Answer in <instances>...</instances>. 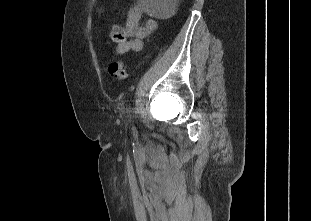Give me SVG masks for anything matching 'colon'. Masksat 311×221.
Returning <instances> with one entry per match:
<instances>
[{
    "instance_id": "1",
    "label": "colon",
    "mask_w": 311,
    "mask_h": 221,
    "mask_svg": "<svg viewBox=\"0 0 311 221\" xmlns=\"http://www.w3.org/2000/svg\"><path fill=\"white\" fill-rule=\"evenodd\" d=\"M109 36L115 42L125 41V36L122 32L117 30L116 25L111 26L109 29ZM108 72L116 81H124L128 77V71L123 62L117 60L112 61L108 66Z\"/></svg>"
}]
</instances>
